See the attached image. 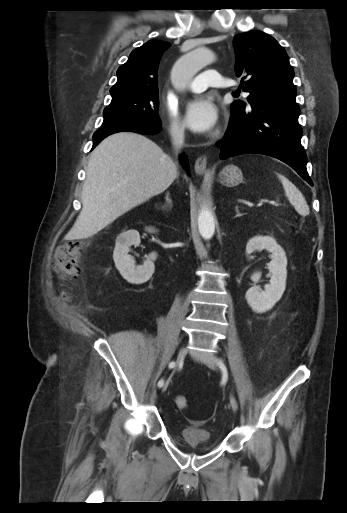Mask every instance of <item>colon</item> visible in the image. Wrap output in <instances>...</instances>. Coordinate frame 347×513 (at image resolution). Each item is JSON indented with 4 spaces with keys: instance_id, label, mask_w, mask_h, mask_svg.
Returning a JSON list of instances; mask_svg holds the SVG:
<instances>
[{
    "instance_id": "5ec220e1",
    "label": "colon",
    "mask_w": 347,
    "mask_h": 513,
    "mask_svg": "<svg viewBox=\"0 0 347 513\" xmlns=\"http://www.w3.org/2000/svg\"><path fill=\"white\" fill-rule=\"evenodd\" d=\"M80 258L79 244L76 242L65 243L59 247L56 253L54 267L64 279L75 278L80 273ZM174 403L181 411L188 409V400L182 394L175 395Z\"/></svg>"
}]
</instances>
